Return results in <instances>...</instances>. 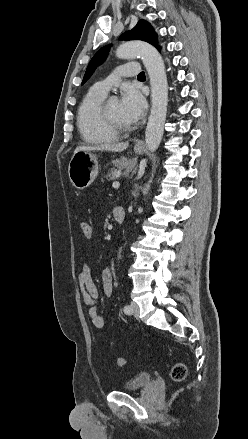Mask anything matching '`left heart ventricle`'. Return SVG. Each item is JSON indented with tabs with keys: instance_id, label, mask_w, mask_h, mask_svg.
Masks as SVG:
<instances>
[{
	"instance_id": "obj_1",
	"label": "left heart ventricle",
	"mask_w": 248,
	"mask_h": 439,
	"mask_svg": "<svg viewBox=\"0 0 248 439\" xmlns=\"http://www.w3.org/2000/svg\"><path fill=\"white\" fill-rule=\"evenodd\" d=\"M109 113L114 121L122 125H130L131 122L125 117L121 103L118 100H112L108 103Z\"/></svg>"
}]
</instances>
